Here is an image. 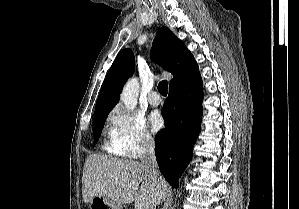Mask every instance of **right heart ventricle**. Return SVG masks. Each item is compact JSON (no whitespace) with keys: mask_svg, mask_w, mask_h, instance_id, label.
Here are the masks:
<instances>
[{"mask_svg":"<svg viewBox=\"0 0 299 209\" xmlns=\"http://www.w3.org/2000/svg\"><path fill=\"white\" fill-rule=\"evenodd\" d=\"M105 148L110 151V152H113V153H118L115 149V147L112 145V143H106L105 144ZM119 154V153H118Z\"/></svg>","mask_w":299,"mask_h":209,"instance_id":"e07e8e85","label":"right heart ventricle"}]
</instances>
